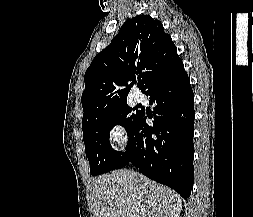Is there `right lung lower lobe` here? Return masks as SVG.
<instances>
[{"instance_id":"98d812e1","label":"right lung lower lobe","mask_w":253,"mask_h":217,"mask_svg":"<svg viewBox=\"0 0 253 217\" xmlns=\"http://www.w3.org/2000/svg\"><path fill=\"white\" fill-rule=\"evenodd\" d=\"M153 116L141 111L112 170L131 163L142 174L177 191L185 200L194 181V94L180 60L145 91ZM153 125L146 124V118Z\"/></svg>"}]
</instances>
